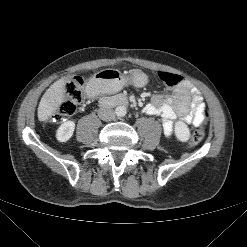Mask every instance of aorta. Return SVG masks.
<instances>
[{
  "mask_svg": "<svg viewBox=\"0 0 247 247\" xmlns=\"http://www.w3.org/2000/svg\"><path fill=\"white\" fill-rule=\"evenodd\" d=\"M115 113L118 117H124L127 114V108L125 106H117Z\"/></svg>",
  "mask_w": 247,
  "mask_h": 247,
  "instance_id": "762f6f07",
  "label": "aorta"
}]
</instances>
